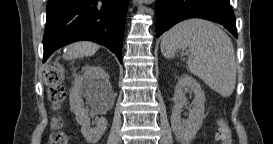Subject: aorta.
Masks as SVG:
<instances>
[{"label": "aorta", "instance_id": "762f6f07", "mask_svg": "<svg viewBox=\"0 0 273 144\" xmlns=\"http://www.w3.org/2000/svg\"><path fill=\"white\" fill-rule=\"evenodd\" d=\"M146 2L149 4V3H152L153 0H146Z\"/></svg>", "mask_w": 273, "mask_h": 144}]
</instances>
